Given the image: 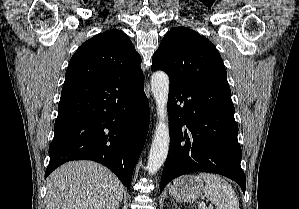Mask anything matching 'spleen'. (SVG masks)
Listing matches in <instances>:
<instances>
[{
	"label": "spleen",
	"instance_id": "spleen-1",
	"mask_svg": "<svg viewBox=\"0 0 299 209\" xmlns=\"http://www.w3.org/2000/svg\"><path fill=\"white\" fill-rule=\"evenodd\" d=\"M196 177L205 181L203 192L217 209H240L236 193L226 180L211 173H200Z\"/></svg>",
	"mask_w": 299,
	"mask_h": 209
}]
</instances>
